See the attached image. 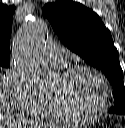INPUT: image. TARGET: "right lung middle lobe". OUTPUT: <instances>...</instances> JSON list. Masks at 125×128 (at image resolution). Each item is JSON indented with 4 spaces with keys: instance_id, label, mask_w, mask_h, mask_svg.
<instances>
[{
    "instance_id": "obj_1",
    "label": "right lung middle lobe",
    "mask_w": 125,
    "mask_h": 128,
    "mask_svg": "<svg viewBox=\"0 0 125 128\" xmlns=\"http://www.w3.org/2000/svg\"><path fill=\"white\" fill-rule=\"evenodd\" d=\"M0 67L9 68L10 67V60L0 59Z\"/></svg>"
}]
</instances>
